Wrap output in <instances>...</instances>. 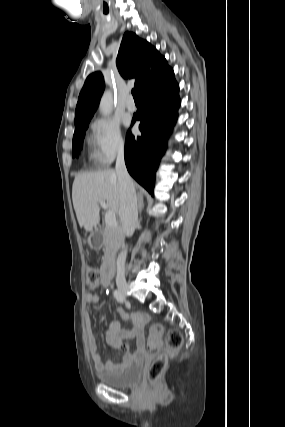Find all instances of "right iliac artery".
Segmentation results:
<instances>
[{
    "mask_svg": "<svg viewBox=\"0 0 285 427\" xmlns=\"http://www.w3.org/2000/svg\"><path fill=\"white\" fill-rule=\"evenodd\" d=\"M113 294H114V297L116 298V300L118 302L123 303L124 299H123V295L120 293V291L115 290Z\"/></svg>",
    "mask_w": 285,
    "mask_h": 427,
    "instance_id": "1",
    "label": "right iliac artery"
}]
</instances>
